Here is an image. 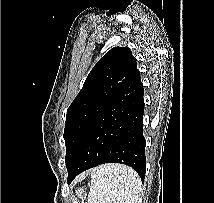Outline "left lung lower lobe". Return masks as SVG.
<instances>
[{
    "instance_id": "obj_1",
    "label": "left lung lower lobe",
    "mask_w": 214,
    "mask_h": 203,
    "mask_svg": "<svg viewBox=\"0 0 214 203\" xmlns=\"http://www.w3.org/2000/svg\"><path fill=\"white\" fill-rule=\"evenodd\" d=\"M143 94L137 70L87 130L67 167L68 183L81 172L104 163L128 165L143 181L146 171Z\"/></svg>"
}]
</instances>
